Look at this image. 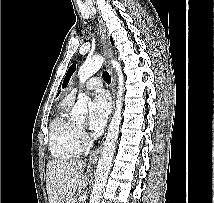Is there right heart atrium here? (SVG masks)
<instances>
[{
    "instance_id": "right-heart-atrium-1",
    "label": "right heart atrium",
    "mask_w": 214,
    "mask_h": 203,
    "mask_svg": "<svg viewBox=\"0 0 214 203\" xmlns=\"http://www.w3.org/2000/svg\"><path fill=\"white\" fill-rule=\"evenodd\" d=\"M78 132L80 134V136H85L86 135V130L84 128V126H78Z\"/></svg>"
}]
</instances>
